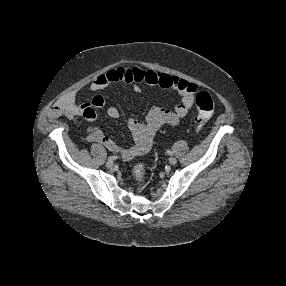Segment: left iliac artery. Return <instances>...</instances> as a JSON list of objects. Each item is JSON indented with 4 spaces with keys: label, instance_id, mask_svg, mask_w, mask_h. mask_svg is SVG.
I'll list each match as a JSON object with an SVG mask.
<instances>
[{
    "label": "left iliac artery",
    "instance_id": "1",
    "mask_svg": "<svg viewBox=\"0 0 286 286\" xmlns=\"http://www.w3.org/2000/svg\"><path fill=\"white\" fill-rule=\"evenodd\" d=\"M167 153H168L169 155H172V154H173V152L170 151V150H167Z\"/></svg>",
    "mask_w": 286,
    "mask_h": 286
}]
</instances>
